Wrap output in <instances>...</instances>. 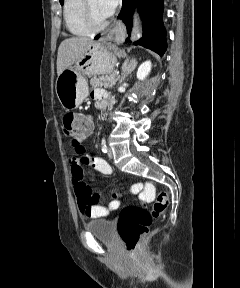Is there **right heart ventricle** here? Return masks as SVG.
<instances>
[{
  "mask_svg": "<svg viewBox=\"0 0 240 288\" xmlns=\"http://www.w3.org/2000/svg\"><path fill=\"white\" fill-rule=\"evenodd\" d=\"M63 15L65 25L71 34L88 36L91 33L84 23L83 0H65Z\"/></svg>",
  "mask_w": 240,
  "mask_h": 288,
  "instance_id": "obj_1",
  "label": "right heart ventricle"
}]
</instances>
